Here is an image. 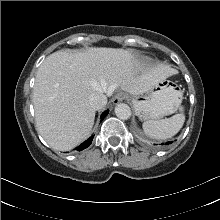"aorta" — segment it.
I'll use <instances>...</instances> for the list:
<instances>
[{"instance_id":"762f6f07","label":"aorta","mask_w":220,"mask_h":220,"mask_svg":"<svg viewBox=\"0 0 220 220\" xmlns=\"http://www.w3.org/2000/svg\"><path fill=\"white\" fill-rule=\"evenodd\" d=\"M115 115L121 120H127L131 117V109L125 103H119L115 106Z\"/></svg>"}]
</instances>
